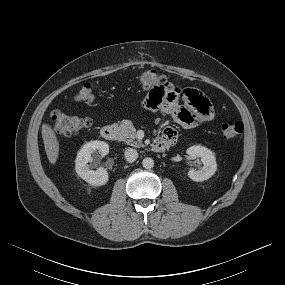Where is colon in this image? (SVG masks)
Wrapping results in <instances>:
<instances>
[{"mask_svg": "<svg viewBox=\"0 0 285 285\" xmlns=\"http://www.w3.org/2000/svg\"><path fill=\"white\" fill-rule=\"evenodd\" d=\"M139 84L148 89L156 83H165L174 87L176 90L182 91L170 82L164 75L156 70H148L138 77ZM75 100L79 103L92 104L95 101L94 87L91 83H85L75 95ZM52 127L54 131L60 135L72 136L91 126L92 121L88 118H81L75 115H69L59 110H55L51 114ZM223 138L232 140L237 138L243 131V124L237 121H226L220 127Z\"/></svg>", "mask_w": 285, "mask_h": 285, "instance_id": "colon-1", "label": "colon"}]
</instances>
